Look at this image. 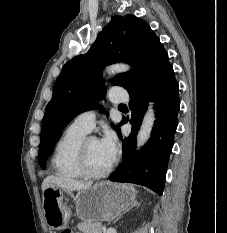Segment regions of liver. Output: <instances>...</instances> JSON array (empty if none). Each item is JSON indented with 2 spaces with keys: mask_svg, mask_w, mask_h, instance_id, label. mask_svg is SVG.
Here are the masks:
<instances>
[{
  "mask_svg": "<svg viewBox=\"0 0 227 233\" xmlns=\"http://www.w3.org/2000/svg\"><path fill=\"white\" fill-rule=\"evenodd\" d=\"M51 186H57L68 191H81L90 188L92 186V182L78 181L62 175H49L42 182V194H44L46 188Z\"/></svg>",
  "mask_w": 227,
  "mask_h": 233,
  "instance_id": "1",
  "label": "liver"
}]
</instances>
